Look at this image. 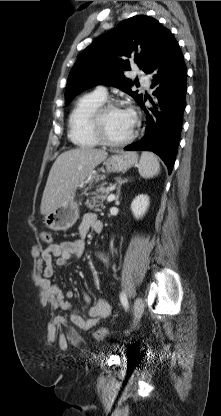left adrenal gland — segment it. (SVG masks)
Segmentation results:
<instances>
[{
    "label": "left adrenal gland",
    "instance_id": "obj_1",
    "mask_svg": "<svg viewBox=\"0 0 221 416\" xmlns=\"http://www.w3.org/2000/svg\"><path fill=\"white\" fill-rule=\"evenodd\" d=\"M126 182H128L127 178H124V179H122L121 177L116 178V183L118 184L117 195H116V198H115L116 202H118V199H119V196H120L121 186H122V184H124Z\"/></svg>",
    "mask_w": 221,
    "mask_h": 416
}]
</instances>
